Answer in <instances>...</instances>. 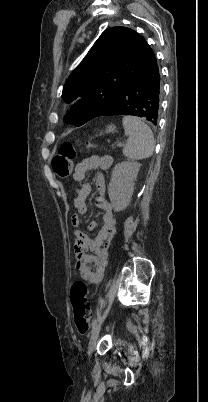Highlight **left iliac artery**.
Instances as JSON below:
<instances>
[{"instance_id": "left-iliac-artery-1", "label": "left iliac artery", "mask_w": 208, "mask_h": 402, "mask_svg": "<svg viewBox=\"0 0 208 402\" xmlns=\"http://www.w3.org/2000/svg\"><path fill=\"white\" fill-rule=\"evenodd\" d=\"M96 324H97V319H94V320L92 321V331L94 330Z\"/></svg>"}]
</instances>
